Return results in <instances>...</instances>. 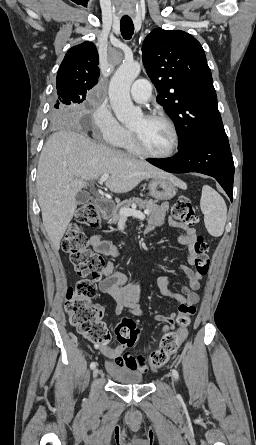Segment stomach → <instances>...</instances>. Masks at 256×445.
<instances>
[{
	"instance_id": "stomach-1",
	"label": "stomach",
	"mask_w": 256,
	"mask_h": 445,
	"mask_svg": "<svg viewBox=\"0 0 256 445\" xmlns=\"http://www.w3.org/2000/svg\"><path fill=\"white\" fill-rule=\"evenodd\" d=\"M176 186L171 176L152 177L148 184L149 196L157 200H170L177 193Z\"/></svg>"
}]
</instances>
